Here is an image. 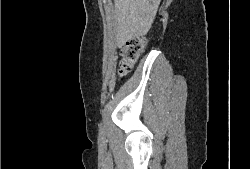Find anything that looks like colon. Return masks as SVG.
Listing matches in <instances>:
<instances>
[{
	"label": "colon",
	"instance_id": "obj_1",
	"mask_svg": "<svg viewBox=\"0 0 250 169\" xmlns=\"http://www.w3.org/2000/svg\"><path fill=\"white\" fill-rule=\"evenodd\" d=\"M150 38H145V34L127 39L120 47L118 54V75H127L137 63L139 57L145 49L146 43H150Z\"/></svg>",
	"mask_w": 250,
	"mask_h": 169
}]
</instances>
